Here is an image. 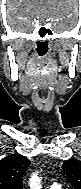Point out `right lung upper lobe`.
Returning a JSON list of instances; mask_svg holds the SVG:
<instances>
[{
	"label": "right lung upper lobe",
	"mask_w": 81,
	"mask_h": 189,
	"mask_svg": "<svg viewBox=\"0 0 81 189\" xmlns=\"http://www.w3.org/2000/svg\"><path fill=\"white\" fill-rule=\"evenodd\" d=\"M30 164L21 154L6 156L0 161V189H22V175Z\"/></svg>",
	"instance_id": "right-lung-upper-lobe-1"
}]
</instances>
